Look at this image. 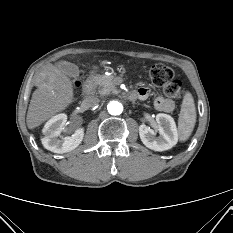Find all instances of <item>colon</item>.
Listing matches in <instances>:
<instances>
[{
  "mask_svg": "<svg viewBox=\"0 0 233 233\" xmlns=\"http://www.w3.org/2000/svg\"><path fill=\"white\" fill-rule=\"evenodd\" d=\"M150 78L157 86L163 87L165 96L172 99H180L183 95L181 82L174 79L173 70L161 63H157L150 68ZM77 85L79 83L77 82Z\"/></svg>",
  "mask_w": 233,
  "mask_h": 233,
  "instance_id": "colon-1",
  "label": "colon"
}]
</instances>
